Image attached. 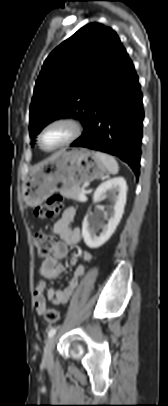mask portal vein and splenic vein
I'll list each match as a JSON object with an SVG mask.
<instances>
[{
	"mask_svg": "<svg viewBox=\"0 0 168 406\" xmlns=\"http://www.w3.org/2000/svg\"><path fill=\"white\" fill-rule=\"evenodd\" d=\"M80 198H81V200H86L87 199L83 192L80 194Z\"/></svg>",
	"mask_w": 168,
	"mask_h": 406,
	"instance_id": "obj_1",
	"label": "portal vein and splenic vein"
}]
</instances>
